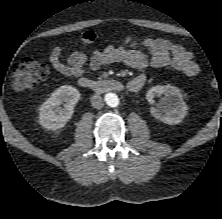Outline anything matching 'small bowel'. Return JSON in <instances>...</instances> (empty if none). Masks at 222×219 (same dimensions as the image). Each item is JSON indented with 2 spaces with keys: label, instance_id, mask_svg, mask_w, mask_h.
I'll return each instance as SVG.
<instances>
[{
  "label": "small bowel",
  "instance_id": "obj_1",
  "mask_svg": "<svg viewBox=\"0 0 222 219\" xmlns=\"http://www.w3.org/2000/svg\"><path fill=\"white\" fill-rule=\"evenodd\" d=\"M96 39L97 36L93 31H86L81 35L80 44L83 48H87ZM49 61L57 72L77 78L112 63H123L134 69L170 66L189 77L199 73V66L190 52L179 44L154 37H145L141 40L126 37L118 44L95 50L89 57L82 51H73L65 55L63 48L56 45L49 54ZM131 81H140L144 84L145 76L139 74Z\"/></svg>",
  "mask_w": 222,
  "mask_h": 219
}]
</instances>
